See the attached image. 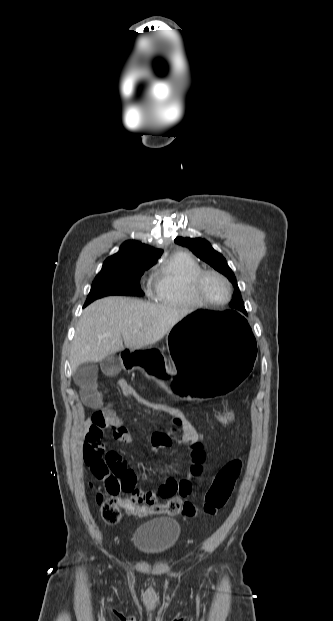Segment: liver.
<instances>
[{"label":"liver","instance_id":"1","mask_svg":"<svg viewBox=\"0 0 333 621\" xmlns=\"http://www.w3.org/2000/svg\"><path fill=\"white\" fill-rule=\"evenodd\" d=\"M184 309L126 297L100 299L84 309L70 350V365L99 362L124 349L161 340L186 315Z\"/></svg>","mask_w":333,"mask_h":621}]
</instances>
